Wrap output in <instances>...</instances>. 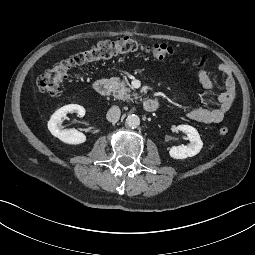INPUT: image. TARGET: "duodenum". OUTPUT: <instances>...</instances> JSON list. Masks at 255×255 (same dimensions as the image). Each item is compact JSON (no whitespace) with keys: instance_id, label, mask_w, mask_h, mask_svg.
I'll return each instance as SVG.
<instances>
[{"instance_id":"duodenum-1","label":"duodenum","mask_w":255,"mask_h":255,"mask_svg":"<svg viewBox=\"0 0 255 255\" xmlns=\"http://www.w3.org/2000/svg\"><path fill=\"white\" fill-rule=\"evenodd\" d=\"M95 91L102 95L107 96L111 91V83L107 78H100L95 82ZM159 106V102L157 99H147L143 102V108L147 112L155 111Z\"/></svg>"}]
</instances>
